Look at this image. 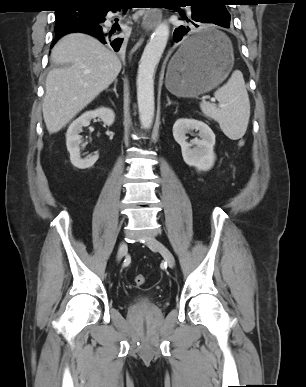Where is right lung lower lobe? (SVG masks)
<instances>
[{
	"label": "right lung lower lobe",
	"mask_w": 306,
	"mask_h": 387,
	"mask_svg": "<svg viewBox=\"0 0 306 387\" xmlns=\"http://www.w3.org/2000/svg\"><path fill=\"white\" fill-rule=\"evenodd\" d=\"M120 9V7H116L114 5L108 8H97L87 19V22L76 24L70 28L57 31L52 46L59 38H61L65 34L72 32H82L97 37L102 43L111 45L115 51H119L123 39L117 38L116 35L118 34L120 27L118 26L109 29L103 23L106 20L105 16L108 11L112 10L114 12L115 10Z\"/></svg>",
	"instance_id": "right-lung-lower-lobe-1"
}]
</instances>
